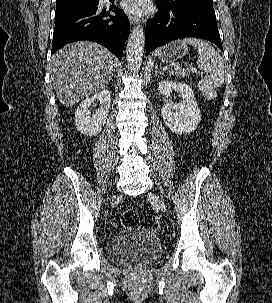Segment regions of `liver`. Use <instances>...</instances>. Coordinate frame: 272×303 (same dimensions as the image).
Segmentation results:
<instances>
[{
    "label": "liver",
    "mask_w": 272,
    "mask_h": 303,
    "mask_svg": "<svg viewBox=\"0 0 272 303\" xmlns=\"http://www.w3.org/2000/svg\"><path fill=\"white\" fill-rule=\"evenodd\" d=\"M117 58L102 45L79 41L51 58L53 87L60 103L70 107L102 90L112 79Z\"/></svg>",
    "instance_id": "obj_1"
}]
</instances>
